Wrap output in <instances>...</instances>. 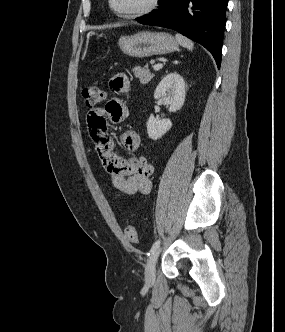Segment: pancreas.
Segmentation results:
<instances>
[{"label": "pancreas", "mask_w": 285, "mask_h": 332, "mask_svg": "<svg viewBox=\"0 0 285 332\" xmlns=\"http://www.w3.org/2000/svg\"><path fill=\"white\" fill-rule=\"evenodd\" d=\"M133 72L136 78L140 80L142 84H147L153 78V74L150 73L148 66L144 68L136 66L133 68Z\"/></svg>", "instance_id": "1"}]
</instances>
